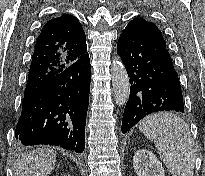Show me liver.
Here are the masks:
<instances>
[{"label": "liver", "mask_w": 205, "mask_h": 176, "mask_svg": "<svg viewBox=\"0 0 205 176\" xmlns=\"http://www.w3.org/2000/svg\"><path fill=\"white\" fill-rule=\"evenodd\" d=\"M56 152L39 148L24 153L14 162L15 176H48L55 168Z\"/></svg>", "instance_id": "1"}]
</instances>
